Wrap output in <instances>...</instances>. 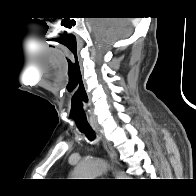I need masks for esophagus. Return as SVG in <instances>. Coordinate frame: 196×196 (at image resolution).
I'll list each match as a JSON object with an SVG mask.
<instances>
[{"label": "esophagus", "instance_id": "1", "mask_svg": "<svg viewBox=\"0 0 196 196\" xmlns=\"http://www.w3.org/2000/svg\"><path fill=\"white\" fill-rule=\"evenodd\" d=\"M96 131L103 138V140H104V146H105V149H106V151H107V153H108V155L110 157L111 164L113 166H115L116 163H117V154H116V151L112 147L111 143L104 137L103 130L97 128ZM113 174H115V173L113 172Z\"/></svg>", "mask_w": 196, "mask_h": 196}]
</instances>
